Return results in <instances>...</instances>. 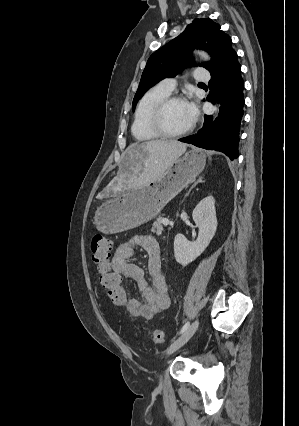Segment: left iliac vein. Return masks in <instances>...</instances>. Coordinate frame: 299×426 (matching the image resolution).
Segmentation results:
<instances>
[{
    "label": "left iliac vein",
    "mask_w": 299,
    "mask_h": 426,
    "mask_svg": "<svg viewBox=\"0 0 299 426\" xmlns=\"http://www.w3.org/2000/svg\"><path fill=\"white\" fill-rule=\"evenodd\" d=\"M199 326V320L196 319L189 327L188 329L182 333L173 343L168 347L167 349V356L174 353L176 350H178L181 346H183L196 332L197 328ZM159 384H162V376H160Z\"/></svg>",
    "instance_id": "left-iliac-vein-1"
}]
</instances>
